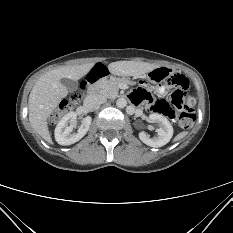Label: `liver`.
Here are the masks:
<instances>
[{
    "mask_svg": "<svg viewBox=\"0 0 233 233\" xmlns=\"http://www.w3.org/2000/svg\"><path fill=\"white\" fill-rule=\"evenodd\" d=\"M93 67L94 63L63 66L43 74L36 81L28 99L29 121L32 128L48 143L53 142L48 130L47 118L68 94L61 79L79 80ZM157 67L155 64L135 61H117L108 65L110 73L124 76L143 75Z\"/></svg>",
    "mask_w": 233,
    "mask_h": 233,
    "instance_id": "obj_1",
    "label": "liver"
}]
</instances>
